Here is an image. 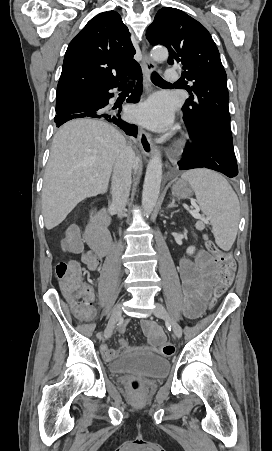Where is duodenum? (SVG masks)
<instances>
[{
    "mask_svg": "<svg viewBox=\"0 0 272 451\" xmlns=\"http://www.w3.org/2000/svg\"><path fill=\"white\" fill-rule=\"evenodd\" d=\"M109 218L102 211L88 225L85 239L90 248L100 256H105L111 249L112 237L108 230Z\"/></svg>",
    "mask_w": 272,
    "mask_h": 451,
    "instance_id": "obj_1",
    "label": "duodenum"
}]
</instances>
